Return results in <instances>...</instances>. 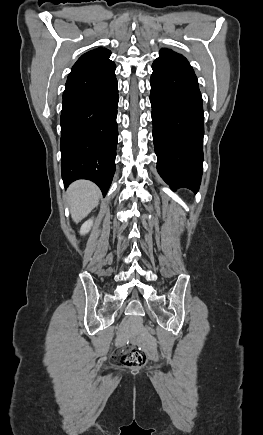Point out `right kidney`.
Returning <instances> with one entry per match:
<instances>
[{"instance_id": "1", "label": "right kidney", "mask_w": 263, "mask_h": 435, "mask_svg": "<svg viewBox=\"0 0 263 435\" xmlns=\"http://www.w3.org/2000/svg\"><path fill=\"white\" fill-rule=\"evenodd\" d=\"M92 225H93V219H89L86 222H84L83 225L81 226L80 234L84 235V234L88 233L90 231Z\"/></svg>"}]
</instances>
